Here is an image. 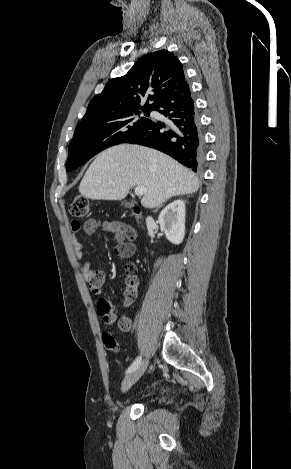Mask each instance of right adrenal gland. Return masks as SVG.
<instances>
[{"label":"right adrenal gland","instance_id":"obj_1","mask_svg":"<svg viewBox=\"0 0 291 469\" xmlns=\"http://www.w3.org/2000/svg\"><path fill=\"white\" fill-rule=\"evenodd\" d=\"M159 207H160V206H159ZM159 207H157V208L155 209V212H157V210H158Z\"/></svg>","mask_w":291,"mask_h":469}]
</instances>
